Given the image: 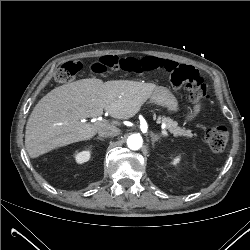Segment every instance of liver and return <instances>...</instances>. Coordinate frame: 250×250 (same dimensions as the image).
Here are the masks:
<instances>
[{
    "label": "liver",
    "mask_w": 250,
    "mask_h": 250,
    "mask_svg": "<svg viewBox=\"0 0 250 250\" xmlns=\"http://www.w3.org/2000/svg\"><path fill=\"white\" fill-rule=\"evenodd\" d=\"M157 88L152 83L130 80L103 82L87 78L47 93L34 107L26 124L25 147L31 158L55 148L92 138L99 130L120 125L118 121L85 123L105 110L114 119H130Z\"/></svg>",
    "instance_id": "liver-1"
}]
</instances>
